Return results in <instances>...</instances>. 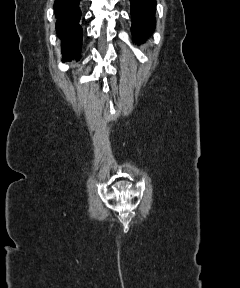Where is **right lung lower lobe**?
<instances>
[{"instance_id": "98d812e1", "label": "right lung lower lobe", "mask_w": 240, "mask_h": 288, "mask_svg": "<svg viewBox=\"0 0 240 288\" xmlns=\"http://www.w3.org/2000/svg\"><path fill=\"white\" fill-rule=\"evenodd\" d=\"M80 0H55L54 12L57 17V35L62 40L64 61L79 59L82 46V28L79 25Z\"/></svg>"}]
</instances>
